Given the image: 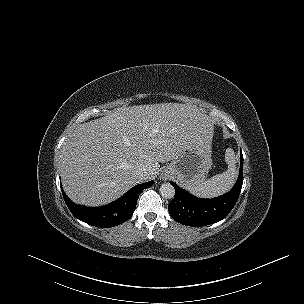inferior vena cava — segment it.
Masks as SVG:
<instances>
[{"label":"inferior vena cava","mask_w":304,"mask_h":304,"mask_svg":"<svg viewBox=\"0 0 304 304\" xmlns=\"http://www.w3.org/2000/svg\"><path fill=\"white\" fill-rule=\"evenodd\" d=\"M135 174L140 180H147L149 177V172L145 168H137Z\"/></svg>","instance_id":"602c4592"}]
</instances>
